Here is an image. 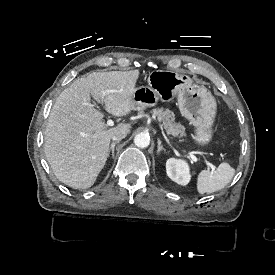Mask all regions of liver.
<instances>
[{
  "label": "liver",
  "mask_w": 275,
  "mask_h": 275,
  "mask_svg": "<svg viewBox=\"0 0 275 275\" xmlns=\"http://www.w3.org/2000/svg\"><path fill=\"white\" fill-rule=\"evenodd\" d=\"M140 76L139 70L107 73L95 72L78 78L57 98L45 130L44 151L55 176L73 188L94 185L105 167L114 132L130 123L109 127L96 108L85 103L92 97L100 100L103 90L107 111L117 117L132 114V96Z\"/></svg>",
  "instance_id": "1"
}]
</instances>
